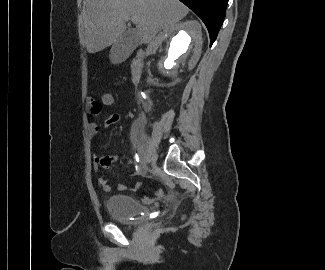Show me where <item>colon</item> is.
<instances>
[{
    "label": "colon",
    "instance_id": "5ec220e1",
    "mask_svg": "<svg viewBox=\"0 0 325 270\" xmlns=\"http://www.w3.org/2000/svg\"><path fill=\"white\" fill-rule=\"evenodd\" d=\"M101 102L105 107L112 106L115 103V95L112 92L106 91L101 95ZM161 194L162 192L158 191L157 195Z\"/></svg>",
    "mask_w": 325,
    "mask_h": 270
}]
</instances>
